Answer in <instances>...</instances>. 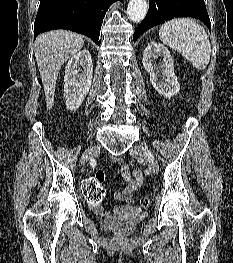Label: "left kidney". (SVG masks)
<instances>
[{"mask_svg": "<svg viewBox=\"0 0 233 263\" xmlns=\"http://www.w3.org/2000/svg\"><path fill=\"white\" fill-rule=\"evenodd\" d=\"M159 56L163 57V62L156 66L154 60ZM142 63L150 74L151 84L160 95L170 99L179 92L180 85L174 73L172 56L167 47L155 41L150 42L144 50Z\"/></svg>", "mask_w": 233, "mask_h": 263, "instance_id": "left-kidney-1", "label": "left kidney"}]
</instances>
